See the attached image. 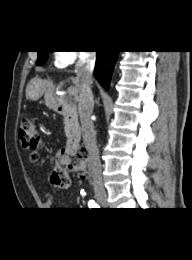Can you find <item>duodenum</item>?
Returning <instances> with one entry per match:
<instances>
[{
	"instance_id": "1",
	"label": "duodenum",
	"mask_w": 192,
	"mask_h": 260,
	"mask_svg": "<svg viewBox=\"0 0 192 260\" xmlns=\"http://www.w3.org/2000/svg\"><path fill=\"white\" fill-rule=\"evenodd\" d=\"M55 110L57 113L65 116L69 122V137L67 143L68 151L71 153L79 151L81 149V130L76 121L74 111L63 102H57L55 105Z\"/></svg>"
}]
</instances>
